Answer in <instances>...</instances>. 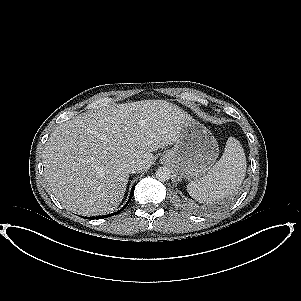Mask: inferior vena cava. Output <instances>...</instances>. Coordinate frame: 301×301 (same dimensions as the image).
I'll return each mask as SVG.
<instances>
[{"label": "inferior vena cava", "instance_id": "obj_1", "mask_svg": "<svg viewBox=\"0 0 301 301\" xmlns=\"http://www.w3.org/2000/svg\"><path fill=\"white\" fill-rule=\"evenodd\" d=\"M144 169L143 165H141L140 163H136V162H133V163H130L128 164L127 166V171L129 173H136V172H140Z\"/></svg>", "mask_w": 301, "mask_h": 301}]
</instances>
